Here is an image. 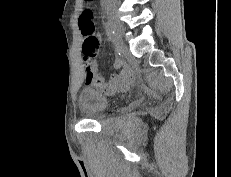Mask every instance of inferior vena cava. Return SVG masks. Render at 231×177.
<instances>
[{
	"label": "inferior vena cava",
	"instance_id": "602c4592",
	"mask_svg": "<svg viewBox=\"0 0 231 177\" xmlns=\"http://www.w3.org/2000/svg\"><path fill=\"white\" fill-rule=\"evenodd\" d=\"M105 2H115L116 0H104Z\"/></svg>",
	"mask_w": 231,
	"mask_h": 177
}]
</instances>
